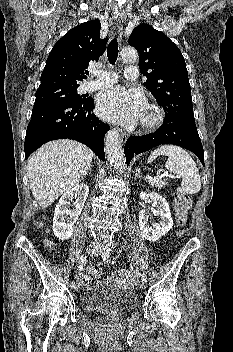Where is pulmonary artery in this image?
<instances>
[{
  "label": "pulmonary artery",
  "instance_id": "obj_1",
  "mask_svg": "<svg viewBox=\"0 0 233 352\" xmlns=\"http://www.w3.org/2000/svg\"><path fill=\"white\" fill-rule=\"evenodd\" d=\"M95 75L98 77L83 84L82 88L85 92L94 91L102 87L112 85L117 81V75L111 72L96 71ZM138 76V69L135 66H128L125 69V78L128 80H135Z\"/></svg>",
  "mask_w": 233,
  "mask_h": 352
}]
</instances>
